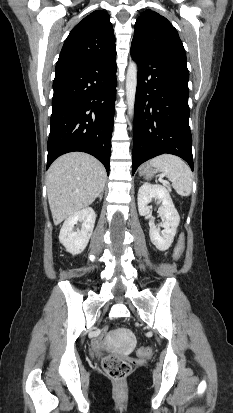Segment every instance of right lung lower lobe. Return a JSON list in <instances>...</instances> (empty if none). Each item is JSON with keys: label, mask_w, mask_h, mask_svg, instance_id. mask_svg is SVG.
I'll use <instances>...</instances> for the list:
<instances>
[{"label": "right lung lower lobe", "mask_w": 233, "mask_h": 413, "mask_svg": "<svg viewBox=\"0 0 233 413\" xmlns=\"http://www.w3.org/2000/svg\"><path fill=\"white\" fill-rule=\"evenodd\" d=\"M47 169L60 155L82 151L109 174L116 97V51L55 71Z\"/></svg>", "instance_id": "obj_1"}]
</instances>
